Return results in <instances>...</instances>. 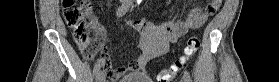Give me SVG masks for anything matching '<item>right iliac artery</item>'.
Listing matches in <instances>:
<instances>
[{"instance_id":"right-iliac-artery-1","label":"right iliac artery","mask_w":279,"mask_h":82,"mask_svg":"<svg viewBox=\"0 0 279 82\" xmlns=\"http://www.w3.org/2000/svg\"><path fill=\"white\" fill-rule=\"evenodd\" d=\"M138 1V0H137ZM134 0H124L123 4L118 8L116 15L117 17H122L129 10L130 6L133 4ZM101 62L97 61L93 68V74L96 75L100 72Z\"/></svg>"}]
</instances>
